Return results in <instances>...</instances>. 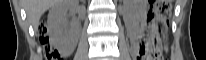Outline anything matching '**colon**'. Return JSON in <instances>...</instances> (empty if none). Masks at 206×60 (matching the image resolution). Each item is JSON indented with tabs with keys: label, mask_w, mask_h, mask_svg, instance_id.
Returning a JSON list of instances; mask_svg holds the SVG:
<instances>
[{
	"label": "colon",
	"mask_w": 206,
	"mask_h": 60,
	"mask_svg": "<svg viewBox=\"0 0 206 60\" xmlns=\"http://www.w3.org/2000/svg\"><path fill=\"white\" fill-rule=\"evenodd\" d=\"M171 8L170 0H157L153 4L154 20L149 25L150 36L138 52L135 60H164L162 54V40L166 37L168 29V15ZM38 36L44 48L46 59H58L59 53L49 44V37L44 23L38 28Z\"/></svg>",
	"instance_id": "1"
}]
</instances>
